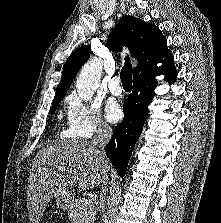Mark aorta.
Returning <instances> with one entry per match:
<instances>
[{
	"label": "aorta",
	"instance_id": "obj_1",
	"mask_svg": "<svg viewBox=\"0 0 221 223\" xmlns=\"http://www.w3.org/2000/svg\"><path fill=\"white\" fill-rule=\"evenodd\" d=\"M102 67V61L98 58L91 59L83 65L76 80V89L83 101H90L99 87Z\"/></svg>",
	"mask_w": 221,
	"mask_h": 223
}]
</instances>
